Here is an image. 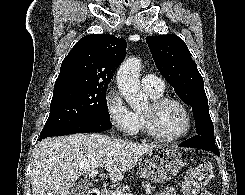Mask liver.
Returning a JSON list of instances; mask_svg holds the SVG:
<instances>
[{"instance_id":"obj_1","label":"liver","mask_w":245,"mask_h":195,"mask_svg":"<svg viewBox=\"0 0 245 195\" xmlns=\"http://www.w3.org/2000/svg\"><path fill=\"white\" fill-rule=\"evenodd\" d=\"M159 146L96 133L46 138L35 148L33 195H70L80 176L103 165L110 180L119 182L142 155Z\"/></svg>"}]
</instances>
